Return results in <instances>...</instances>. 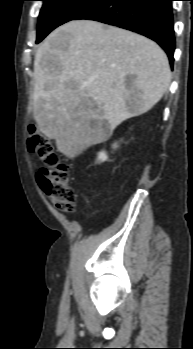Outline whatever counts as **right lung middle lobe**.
Listing matches in <instances>:
<instances>
[{
	"instance_id": "right-lung-middle-lobe-1",
	"label": "right lung middle lobe",
	"mask_w": 193,
	"mask_h": 349,
	"mask_svg": "<svg viewBox=\"0 0 193 349\" xmlns=\"http://www.w3.org/2000/svg\"><path fill=\"white\" fill-rule=\"evenodd\" d=\"M43 7L38 21L37 41L39 43L53 29L73 20L96 0H41Z\"/></svg>"
}]
</instances>
